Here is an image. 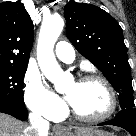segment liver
Here are the masks:
<instances>
[{
  "label": "liver",
  "mask_w": 136,
  "mask_h": 136,
  "mask_svg": "<svg viewBox=\"0 0 136 136\" xmlns=\"http://www.w3.org/2000/svg\"><path fill=\"white\" fill-rule=\"evenodd\" d=\"M92 128H77L76 132L83 133ZM35 135L27 124L3 113H0V136H31Z\"/></svg>",
  "instance_id": "liver-1"
}]
</instances>
